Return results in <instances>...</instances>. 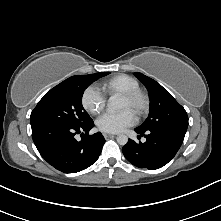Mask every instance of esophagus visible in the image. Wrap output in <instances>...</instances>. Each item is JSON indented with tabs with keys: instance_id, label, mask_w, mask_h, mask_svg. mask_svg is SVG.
<instances>
[{
	"instance_id": "esophagus-1",
	"label": "esophagus",
	"mask_w": 221,
	"mask_h": 221,
	"mask_svg": "<svg viewBox=\"0 0 221 221\" xmlns=\"http://www.w3.org/2000/svg\"><path fill=\"white\" fill-rule=\"evenodd\" d=\"M103 136H104V138H110V137H113L114 136V134H111V133H103Z\"/></svg>"
}]
</instances>
